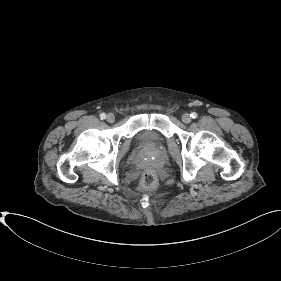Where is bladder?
Here are the masks:
<instances>
[{
  "label": "bladder",
  "mask_w": 281,
  "mask_h": 281,
  "mask_svg": "<svg viewBox=\"0 0 281 281\" xmlns=\"http://www.w3.org/2000/svg\"><path fill=\"white\" fill-rule=\"evenodd\" d=\"M139 145L148 151H155L161 146L160 139L151 133L145 132L139 136Z\"/></svg>",
  "instance_id": "bladder-1"
}]
</instances>
